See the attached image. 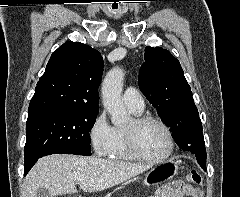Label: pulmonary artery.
Wrapping results in <instances>:
<instances>
[{"label":"pulmonary artery","instance_id":"pulmonary-artery-1","mask_svg":"<svg viewBox=\"0 0 240 197\" xmlns=\"http://www.w3.org/2000/svg\"><path fill=\"white\" fill-rule=\"evenodd\" d=\"M123 102L134 111H143L145 103L141 93L133 87H128L123 94Z\"/></svg>","mask_w":240,"mask_h":197}]
</instances>
